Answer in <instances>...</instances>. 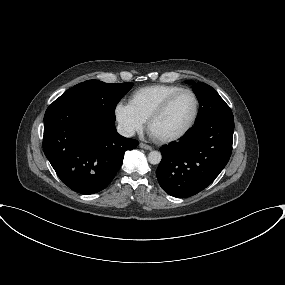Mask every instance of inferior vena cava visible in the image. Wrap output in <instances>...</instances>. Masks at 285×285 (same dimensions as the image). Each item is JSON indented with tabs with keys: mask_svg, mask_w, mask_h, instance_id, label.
<instances>
[{
	"mask_svg": "<svg viewBox=\"0 0 285 285\" xmlns=\"http://www.w3.org/2000/svg\"><path fill=\"white\" fill-rule=\"evenodd\" d=\"M117 131L124 137H132L135 134V131L132 128L122 125H118Z\"/></svg>",
	"mask_w": 285,
	"mask_h": 285,
	"instance_id": "1",
	"label": "inferior vena cava"
}]
</instances>
